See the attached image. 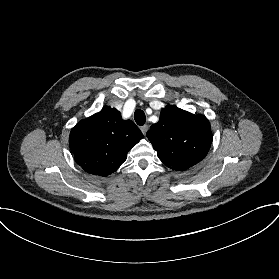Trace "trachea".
Masks as SVG:
<instances>
[{
    "mask_svg": "<svg viewBox=\"0 0 279 279\" xmlns=\"http://www.w3.org/2000/svg\"><path fill=\"white\" fill-rule=\"evenodd\" d=\"M134 119L138 125L142 126L146 121V116L143 111L136 110L134 113Z\"/></svg>",
    "mask_w": 279,
    "mask_h": 279,
    "instance_id": "3493384b",
    "label": "trachea"
}]
</instances>
